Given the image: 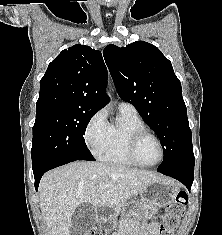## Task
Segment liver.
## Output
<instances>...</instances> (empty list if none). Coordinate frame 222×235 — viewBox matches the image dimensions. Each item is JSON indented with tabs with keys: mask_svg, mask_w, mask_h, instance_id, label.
<instances>
[{
	"mask_svg": "<svg viewBox=\"0 0 222 235\" xmlns=\"http://www.w3.org/2000/svg\"><path fill=\"white\" fill-rule=\"evenodd\" d=\"M161 177L153 172L100 162H73L47 172L39 185V206L50 235H70L75 209L89 203L118 207ZM107 184L106 189H99Z\"/></svg>",
	"mask_w": 222,
	"mask_h": 235,
	"instance_id": "liver-1",
	"label": "liver"
}]
</instances>
